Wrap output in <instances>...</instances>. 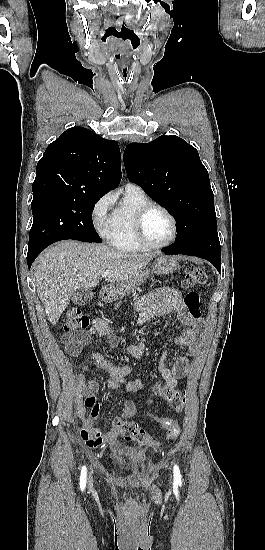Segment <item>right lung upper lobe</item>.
<instances>
[{"label": "right lung upper lobe", "mask_w": 265, "mask_h": 550, "mask_svg": "<svg viewBox=\"0 0 265 550\" xmlns=\"http://www.w3.org/2000/svg\"><path fill=\"white\" fill-rule=\"evenodd\" d=\"M121 180L116 141L73 127L52 142L37 164L33 195L103 196Z\"/></svg>", "instance_id": "obj_1"}]
</instances>
